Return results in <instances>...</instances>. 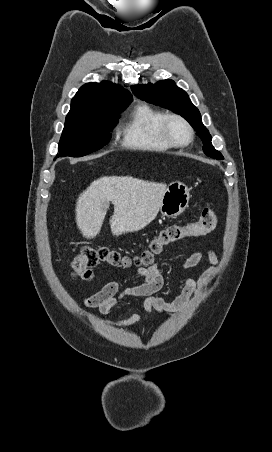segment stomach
Listing matches in <instances>:
<instances>
[{"label": "stomach", "mask_w": 272, "mask_h": 452, "mask_svg": "<svg viewBox=\"0 0 272 452\" xmlns=\"http://www.w3.org/2000/svg\"><path fill=\"white\" fill-rule=\"evenodd\" d=\"M190 197V190L184 183H170L162 198L161 215L168 218L180 215L188 207Z\"/></svg>", "instance_id": "stomach-1"}]
</instances>
